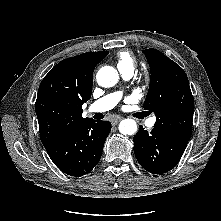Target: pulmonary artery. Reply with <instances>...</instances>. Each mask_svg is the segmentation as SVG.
Instances as JSON below:
<instances>
[{
    "label": "pulmonary artery",
    "instance_id": "e3ab8cb5",
    "mask_svg": "<svg viewBox=\"0 0 221 221\" xmlns=\"http://www.w3.org/2000/svg\"><path fill=\"white\" fill-rule=\"evenodd\" d=\"M134 72L133 71H124L121 72V75L124 79L128 80L133 76ZM121 98V93L120 92H114L105 95L104 97L100 98L96 102H94L90 108V112H105L110 109H112L120 100ZM156 118L151 117L150 119L147 120V126L148 127H153L155 124Z\"/></svg>",
    "mask_w": 221,
    "mask_h": 221
}]
</instances>
